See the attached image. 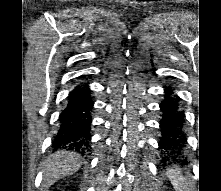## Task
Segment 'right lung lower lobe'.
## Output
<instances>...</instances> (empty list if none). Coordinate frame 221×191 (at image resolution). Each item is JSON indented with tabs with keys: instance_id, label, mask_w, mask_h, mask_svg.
<instances>
[{
	"instance_id": "right-lung-lower-lobe-1",
	"label": "right lung lower lobe",
	"mask_w": 221,
	"mask_h": 191,
	"mask_svg": "<svg viewBox=\"0 0 221 191\" xmlns=\"http://www.w3.org/2000/svg\"><path fill=\"white\" fill-rule=\"evenodd\" d=\"M93 104L87 83L78 85L70 92L53 139L52 146L55 149L75 150L82 154L89 151Z\"/></svg>"
}]
</instances>
